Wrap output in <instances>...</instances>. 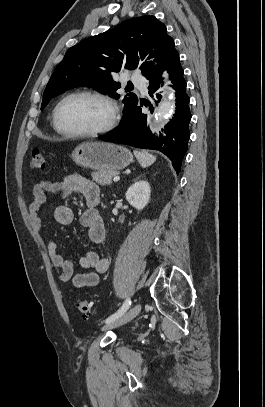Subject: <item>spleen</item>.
Returning a JSON list of instances; mask_svg holds the SVG:
<instances>
[{
  "mask_svg": "<svg viewBox=\"0 0 265 407\" xmlns=\"http://www.w3.org/2000/svg\"><path fill=\"white\" fill-rule=\"evenodd\" d=\"M134 155L136 156L141 167L143 168L152 165L156 161V157L146 151L135 150Z\"/></svg>",
  "mask_w": 265,
  "mask_h": 407,
  "instance_id": "spleen-1",
  "label": "spleen"
}]
</instances>
